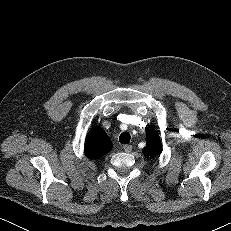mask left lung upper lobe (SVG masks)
<instances>
[{"label": "left lung upper lobe", "instance_id": "left-lung-upper-lobe-1", "mask_svg": "<svg viewBox=\"0 0 231 231\" xmlns=\"http://www.w3.org/2000/svg\"><path fill=\"white\" fill-rule=\"evenodd\" d=\"M161 140L154 128L148 129L146 133V147L142 150L147 158H154L161 152Z\"/></svg>", "mask_w": 231, "mask_h": 231}]
</instances>
